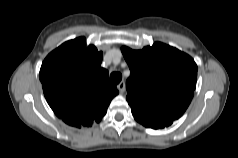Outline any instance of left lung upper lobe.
<instances>
[{"label":"left lung upper lobe","instance_id":"left-lung-upper-lobe-1","mask_svg":"<svg viewBox=\"0 0 238 158\" xmlns=\"http://www.w3.org/2000/svg\"><path fill=\"white\" fill-rule=\"evenodd\" d=\"M131 70L126 97L132 114L151 119H178L196 88L197 65L187 54L156 42L142 50L121 48Z\"/></svg>","mask_w":238,"mask_h":158}]
</instances>
